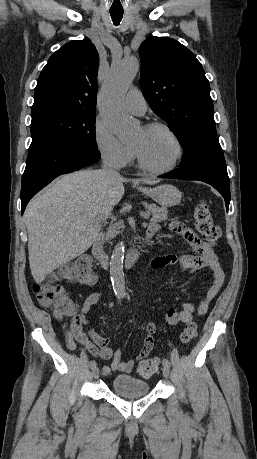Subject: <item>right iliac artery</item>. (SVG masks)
Segmentation results:
<instances>
[{"mask_svg":"<svg viewBox=\"0 0 257 459\" xmlns=\"http://www.w3.org/2000/svg\"><path fill=\"white\" fill-rule=\"evenodd\" d=\"M89 367H90L91 369H94V368L96 367V362H95V360H91V361L89 362Z\"/></svg>","mask_w":257,"mask_h":459,"instance_id":"1","label":"right iliac artery"}]
</instances>
